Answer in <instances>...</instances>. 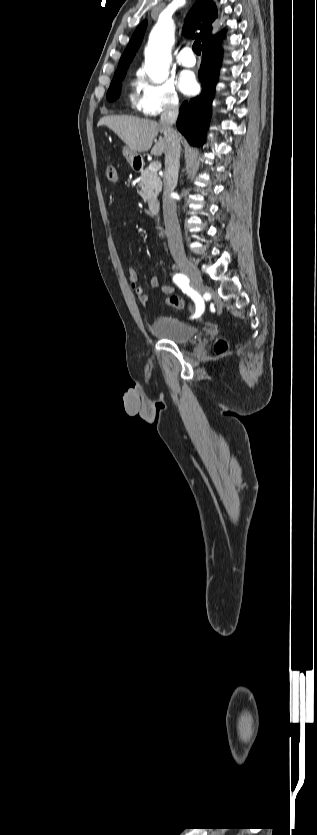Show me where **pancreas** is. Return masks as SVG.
Segmentation results:
<instances>
[{
  "mask_svg": "<svg viewBox=\"0 0 317 835\" xmlns=\"http://www.w3.org/2000/svg\"><path fill=\"white\" fill-rule=\"evenodd\" d=\"M138 185L140 187L139 195L148 202L155 201L162 189V181L157 172L149 168L141 171Z\"/></svg>",
  "mask_w": 317,
  "mask_h": 835,
  "instance_id": "pancreas-1",
  "label": "pancreas"
}]
</instances>
